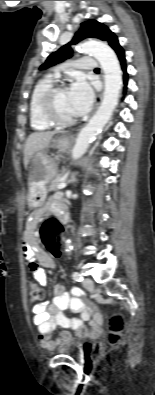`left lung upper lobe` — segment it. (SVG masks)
I'll use <instances>...</instances> for the list:
<instances>
[{
  "label": "left lung upper lobe",
  "instance_id": "5c2ea615",
  "mask_svg": "<svg viewBox=\"0 0 155 395\" xmlns=\"http://www.w3.org/2000/svg\"><path fill=\"white\" fill-rule=\"evenodd\" d=\"M89 37L106 41L115 50L116 53L124 51L118 42L117 36L112 31H110L107 26L98 21L89 20L81 24V28L76 33L75 37L72 39L71 42L50 54L46 59L45 63L40 66V69H47L52 65H55L64 61L65 59L70 58L72 56V49L70 45L77 44L84 38Z\"/></svg>",
  "mask_w": 155,
  "mask_h": 395
}]
</instances>
